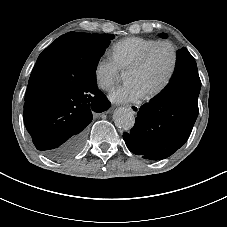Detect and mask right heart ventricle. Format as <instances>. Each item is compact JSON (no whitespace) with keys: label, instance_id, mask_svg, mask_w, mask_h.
Instances as JSON below:
<instances>
[{"label":"right heart ventricle","instance_id":"obj_1","mask_svg":"<svg viewBox=\"0 0 227 227\" xmlns=\"http://www.w3.org/2000/svg\"><path fill=\"white\" fill-rule=\"evenodd\" d=\"M155 42L156 40L141 37L125 38L114 44L112 58L119 69L128 70Z\"/></svg>","mask_w":227,"mask_h":227}]
</instances>
